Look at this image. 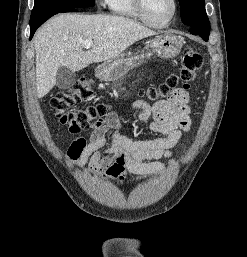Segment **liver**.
<instances>
[{"instance_id": "obj_1", "label": "liver", "mask_w": 247, "mask_h": 257, "mask_svg": "<svg viewBox=\"0 0 247 257\" xmlns=\"http://www.w3.org/2000/svg\"><path fill=\"white\" fill-rule=\"evenodd\" d=\"M157 33L138 22L113 15L60 14L36 33V91L42 98L55 86L60 67L80 71L91 63L119 56L135 42ZM92 40L90 50L83 43Z\"/></svg>"}]
</instances>
